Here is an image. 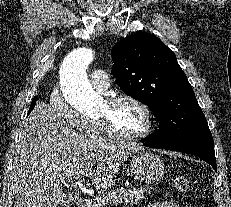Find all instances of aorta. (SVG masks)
Masks as SVG:
<instances>
[{
  "label": "aorta",
  "instance_id": "obj_1",
  "mask_svg": "<svg viewBox=\"0 0 231 207\" xmlns=\"http://www.w3.org/2000/svg\"><path fill=\"white\" fill-rule=\"evenodd\" d=\"M93 57L92 49L80 47L64 58L60 68V84L65 100L86 113L99 107L103 100L92 88L86 73Z\"/></svg>",
  "mask_w": 231,
  "mask_h": 207
}]
</instances>
